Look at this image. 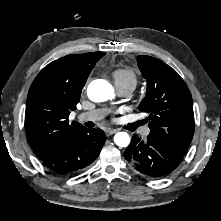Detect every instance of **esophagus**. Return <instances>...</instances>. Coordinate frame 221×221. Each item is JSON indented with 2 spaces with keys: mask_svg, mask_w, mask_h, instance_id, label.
Instances as JSON below:
<instances>
[{
  "mask_svg": "<svg viewBox=\"0 0 221 221\" xmlns=\"http://www.w3.org/2000/svg\"><path fill=\"white\" fill-rule=\"evenodd\" d=\"M116 129H107L106 131H105V134H106V136H111V135H113L114 133H116Z\"/></svg>",
  "mask_w": 221,
  "mask_h": 221,
  "instance_id": "34e87169",
  "label": "esophagus"
}]
</instances>
